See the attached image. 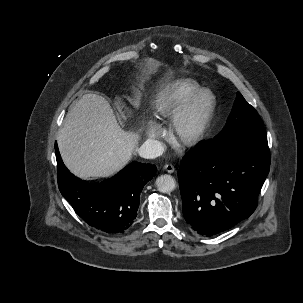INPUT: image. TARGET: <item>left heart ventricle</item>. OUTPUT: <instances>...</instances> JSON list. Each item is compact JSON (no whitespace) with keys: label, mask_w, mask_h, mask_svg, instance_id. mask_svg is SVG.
I'll list each match as a JSON object with an SVG mask.
<instances>
[{"label":"left heart ventricle","mask_w":303,"mask_h":303,"mask_svg":"<svg viewBox=\"0 0 303 303\" xmlns=\"http://www.w3.org/2000/svg\"><path fill=\"white\" fill-rule=\"evenodd\" d=\"M198 114L196 116H194L192 119H191V123H194L196 118H197Z\"/></svg>","instance_id":"left-heart-ventricle-1"}]
</instances>
